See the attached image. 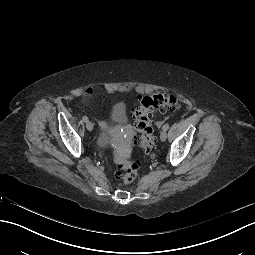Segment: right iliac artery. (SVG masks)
<instances>
[{"label": "right iliac artery", "instance_id": "1", "mask_svg": "<svg viewBox=\"0 0 255 255\" xmlns=\"http://www.w3.org/2000/svg\"><path fill=\"white\" fill-rule=\"evenodd\" d=\"M82 119H83L84 122H88V117L87 116H83Z\"/></svg>", "mask_w": 255, "mask_h": 255}]
</instances>
